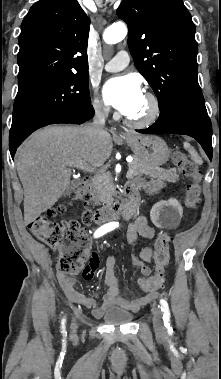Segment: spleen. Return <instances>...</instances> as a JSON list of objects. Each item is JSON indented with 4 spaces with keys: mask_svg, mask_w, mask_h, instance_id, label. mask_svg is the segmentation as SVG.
I'll list each match as a JSON object with an SVG mask.
<instances>
[{
    "mask_svg": "<svg viewBox=\"0 0 221 379\" xmlns=\"http://www.w3.org/2000/svg\"><path fill=\"white\" fill-rule=\"evenodd\" d=\"M184 148L191 154V157L195 163L202 164V159L188 142H184Z\"/></svg>",
    "mask_w": 221,
    "mask_h": 379,
    "instance_id": "3e777b00",
    "label": "spleen"
}]
</instances>
